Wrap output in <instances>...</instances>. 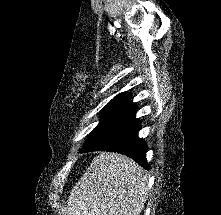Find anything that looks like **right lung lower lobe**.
Segmentation results:
<instances>
[{"mask_svg":"<svg viewBox=\"0 0 221 215\" xmlns=\"http://www.w3.org/2000/svg\"><path fill=\"white\" fill-rule=\"evenodd\" d=\"M140 122L135 112L123 118L112 129L85 145L80 153L91 151H111L124 154L134 159L140 166L149 170L146 161L147 144L138 138Z\"/></svg>","mask_w":221,"mask_h":215,"instance_id":"right-lung-lower-lobe-1","label":"right lung lower lobe"}]
</instances>
